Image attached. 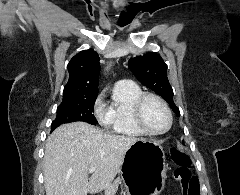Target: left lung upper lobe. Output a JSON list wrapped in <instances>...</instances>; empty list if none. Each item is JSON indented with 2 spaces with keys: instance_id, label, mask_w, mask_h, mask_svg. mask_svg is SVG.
I'll return each mask as SVG.
<instances>
[{
  "instance_id": "1",
  "label": "left lung upper lobe",
  "mask_w": 240,
  "mask_h": 195,
  "mask_svg": "<svg viewBox=\"0 0 240 195\" xmlns=\"http://www.w3.org/2000/svg\"><path fill=\"white\" fill-rule=\"evenodd\" d=\"M128 65L143 85L164 98L174 113L180 116V111L173 102L174 93L167 78V67L158 54L149 52L143 56H137L130 59Z\"/></svg>"
}]
</instances>
